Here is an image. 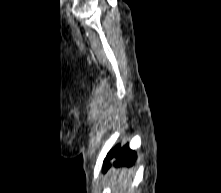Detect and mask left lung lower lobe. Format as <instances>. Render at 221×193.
Wrapping results in <instances>:
<instances>
[{
	"label": "left lung lower lobe",
	"mask_w": 221,
	"mask_h": 193,
	"mask_svg": "<svg viewBox=\"0 0 221 193\" xmlns=\"http://www.w3.org/2000/svg\"><path fill=\"white\" fill-rule=\"evenodd\" d=\"M115 158L116 161L114 163L115 167H120V166H131L134 164L136 160V153L135 151L131 150L129 148L128 144H125L121 146V144H117L114 148H112L105 160H104V166H103V171L105 172L106 170L109 169L110 167V159Z\"/></svg>",
	"instance_id": "left-lung-lower-lobe-1"
}]
</instances>
